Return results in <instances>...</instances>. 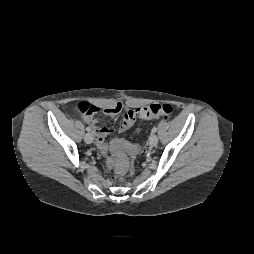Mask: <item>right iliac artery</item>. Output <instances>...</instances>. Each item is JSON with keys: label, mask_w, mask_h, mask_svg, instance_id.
Wrapping results in <instances>:
<instances>
[{"label": "right iliac artery", "mask_w": 254, "mask_h": 254, "mask_svg": "<svg viewBox=\"0 0 254 254\" xmlns=\"http://www.w3.org/2000/svg\"><path fill=\"white\" fill-rule=\"evenodd\" d=\"M86 130H87V131H91V128H90V127H87Z\"/></svg>", "instance_id": "right-iliac-artery-1"}]
</instances>
